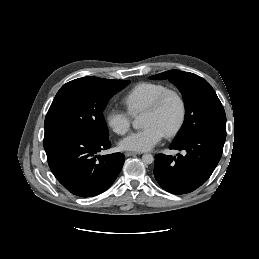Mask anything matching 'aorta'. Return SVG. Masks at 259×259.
I'll use <instances>...</instances> for the list:
<instances>
[{
    "instance_id": "obj_1",
    "label": "aorta",
    "mask_w": 259,
    "mask_h": 259,
    "mask_svg": "<svg viewBox=\"0 0 259 259\" xmlns=\"http://www.w3.org/2000/svg\"><path fill=\"white\" fill-rule=\"evenodd\" d=\"M132 126H133V128H135V129H140V128H142L143 122H142V119H141L140 116H139V117H136V118L133 120ZM153 161H154V157H153L152 154H144V155L142 156V162H143L144 164H151Z\"/></svg>"
}]
</instances>
